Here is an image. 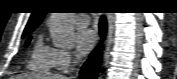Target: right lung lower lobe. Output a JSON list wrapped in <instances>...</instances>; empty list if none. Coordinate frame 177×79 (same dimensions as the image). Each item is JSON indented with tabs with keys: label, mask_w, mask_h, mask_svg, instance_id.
<instances>
[{
	"label": "right lung lower lobe",
	"mask_w": 177,
	"mask_h": 79,
	"mask_svg": "<svg viewBox=\"0 0 177 79\" xmlns=\"http://www.w3.org/2000/svg\"><path fill=\"white\" fill-rule=\"evenodd\" d=\"M106 32V22L102 18L100 20V34L103 36ZM100 49L97 48L91 55L89 60L84 64L80 72L81 79H95L101 62Z\"/></svg>",
	"instance_id": "1"
}]
</instances>
